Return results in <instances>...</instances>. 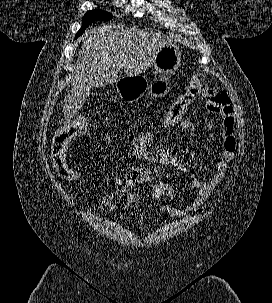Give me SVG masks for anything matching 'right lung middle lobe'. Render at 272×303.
<instances>
[{"label":"right lung middle lobe","mask_w":272,"mask_h":303,"mask_svg":"<svg viewBox=\"0 0 272 303\" xmlns=\"http://www.w3.org/2000/svg\"><path fill=\"white\" fill-rule=\"evenodd\" d=\"M112 17L113 16L110 13L99 9L87 11L83 17L82 27L76 34V38L80 36L92 22L107 21L112 19Z\"/></svg>","instance_id":"right-lung-middle-lobe-1"}]
</instances>
